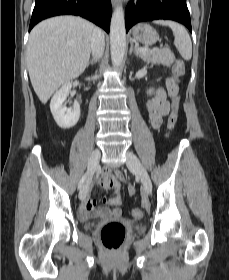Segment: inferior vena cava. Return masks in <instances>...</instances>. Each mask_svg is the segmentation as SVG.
Returning <instances> with one entry per match:
<instances>
[{
  "label": "inferior vena cava",
  "instance_id": "obj_1",
  "mask_svg": "<svg viewBox=\"0 0 229 280\" xmlns=\"http://www.w3.org/2000/svg\"><path fill=\"white\" fill-rule=\"evenodd\" d=\"M105 40L102 31L95 28L92 34L91 49L94 59H99L104 51Z\"/></svg>",
  "mask_w": 229,
  "mask_h": 280
}]
</instances>
